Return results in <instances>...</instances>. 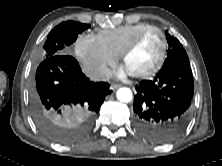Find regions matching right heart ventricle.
Instances as JSON below:
<instances>
[{
	"mask_svg": "<svg viewBox=\"0 0 222 166\" xmlns=\"http://www.w3.org/2000/svg\"><path fill=\"white\" fill-rule=\"evenodd\" d=\"M150 26L145 23L126 25L101 30L94 35L101 47L113 57H117L122 49L144 28Z\"/></svg>",
	"mask_w": 222,
	"mask_h": 166,
	"instance_id": "obj_1",
	"label": "right heart ventricle"
}]
</instances>
